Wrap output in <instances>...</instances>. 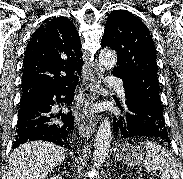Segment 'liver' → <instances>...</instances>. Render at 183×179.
<instances>
[{"mask_svg":"<svg viewBox=\"0 0 183 179\" xmlns=\"http://www.w3.org/2000/svg\"><path fill=\"white\" fill-rule=\"evenodd\" d=\"M65 159V152L45 141L26 142L9 158L7 179H44Z\"/></svg>","mask_w":183,"mask_h":179,"instance_id":"6515ba94","label":"liver"}]
</instances>
